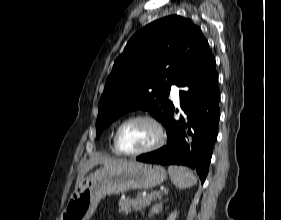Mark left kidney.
Segmentation results:
<instances>
[{"label": "left kidney", "instance_id": "1", "mask_svg": "<svg viewBox=\"0 0 281 220\" xmlns=\"http://www.w3.org/2000/svg\"><path fill=\"white\" fill-rule=\"evenodd\" d=\"M177 211L172 212L169 217L167 218V220H175L177 217Z\"/></svg>", "mask_w": 281, "mask_h": 220}]
</instances>
